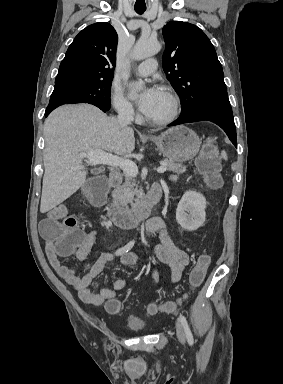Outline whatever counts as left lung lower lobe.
<instances>
[{
  "label": "left lung lower lobe",
  "mask_w": 283,
  "mask_h": 384,
  "mask_svg": "<svg viewBox=\"0 0 283 384\" xmlns=\"http://www.w3.org/2000/svg\"><path fill=\"white\" fill-rule=\"evenodd\" d=\"M203 120L212 121L219 125L226 132L234 146L237 147L236 129L231 106L203 108L186 116L179 117L169 126Z\"/></svg>",
  "instance_id": "1"
}]
</instances>
